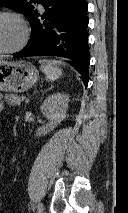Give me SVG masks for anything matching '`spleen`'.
I'll return each mask as SVG.
<instances>
[{"mask_svg": "<svg viewBox=\"0 0 128 213\" xmlns=\"http://www.w3.org/2000/svg\"><path fill=\"white\" fill-rule=\"evenodd\" d=\"M41 70L50 81H56L62 75V70L57 67V61L54 60H42Z\"/></svg>", "mask_w": 128, "mask_h": 213, "instance_id": "obj_1", "label": "spleen"}]
</instances>
